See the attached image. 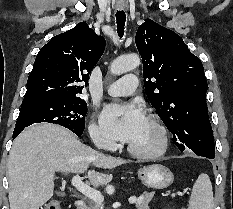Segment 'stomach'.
I'll list each match as a JSON object with an SVG mask.
<instances>
[{
    "mask_svg": "<svg viewBox=\"0 0 233 209\" xmlns=\"http://www.w3.org/2000/svg\"><path fill=\"white\" fill-rule=\"evenodd\" d=\"M139 179L153 189H164L174 180L172 172L161 164H153L138 170Z\"/></svg>",
    "mask_w": 233,
    "mask_h": 209,
    "instance_id": "stomach-1",
    "label": "stomach"
}]
</instances>
